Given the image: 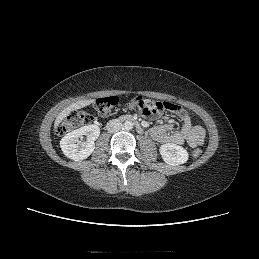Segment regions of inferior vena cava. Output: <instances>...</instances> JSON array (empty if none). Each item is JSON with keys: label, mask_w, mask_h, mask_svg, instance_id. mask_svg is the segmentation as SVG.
Here are the masks:
<instances>
[{"label": "inferior vena cava", "mask_w": 259, "mask_h": 259, "mask_svg": "<svg viewBox=\"0 0 259 259\" xmlns=\"http://www.w3.org/2000/svg\"><path fill=\"white\" fill-rule=\"evenodd\" d=\"M122 127H123V124L118 119H112L106 125L107 131L109 133H115L121 130Z\"/></svg>", "instance_id": "inferior-vena-cava-1"}]
</instances>
